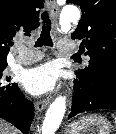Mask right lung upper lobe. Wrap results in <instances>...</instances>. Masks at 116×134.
<instances>
[{
	"mask_svg": "<svg viewBox=\"0 0 116 134\" xmlns=\"http://www.w3.org/2000/svg\"><path fill=\"white\" fill-rule=\"evenodd\" d=\"M43 0H0V63H7L14 37L30 35L39 25Z\"/></svg>",
	"mask_w": 116,
	"mask_h": 134,
	"instance_id": "1",
	"label": "right lung upper lobe"
}]
</instances>
